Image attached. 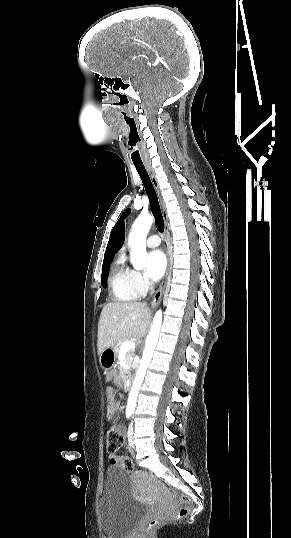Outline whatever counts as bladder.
<instances>
[{"mask_svg": "<svg viewBox=\"0 0 291 538\" xmlns=\"http://www.w3.org/2000/svg\"><path fill=\"white\" fill-rule=\"evenodd\" d=\"M148 509L133 497L125 471L117 467L106 471L98 512L100 528L106 538H126Z\"/></svg>", "mask_w": 291, "mask_h": 538, "instance_id": "31cf9c89", "label": "bladder"}]
</instances>
